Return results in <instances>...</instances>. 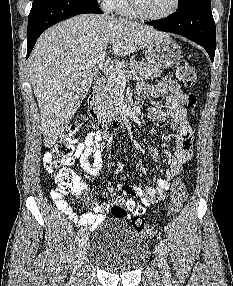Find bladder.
Returning a JSON list of instances; mask_svg holds the SVG:
<instances>
[{"mask_svg":"<svg viewBox=\"0 0 233 286\" xmlns=\"http://www.w3.org/2000/svg\"><path fill=\"white\" fill-rule=\"evenodd\" d=\"M87 249L90 261L109 273L133 272L150 257L147 241L121 221H111L97 229Z\"/></svg>","mask_w":233,"mask_h":286,"instance_id":"obj_1","label":"bladder"}]
</instances>
